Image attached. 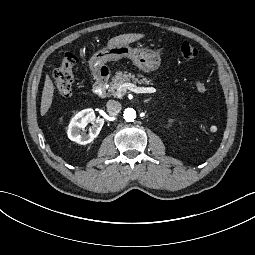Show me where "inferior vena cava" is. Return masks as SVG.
<instances>
[{
	"label": "inferior vena cava",
	"instance_id": "1",
	"mask_svg": "<svg viewBox=\"0 0 255 255\" xmlns=\"http://www.w3.org/2000/svg\"><path fill=\"white\" fill-rule=\"evenodd\" d=\"M107 109L111 115H116L121 111L122 105L115 100H109L107 102Z\"/></svg>",
	"mask_w": 255,
	"mask_h": 255
}]
</instances>
